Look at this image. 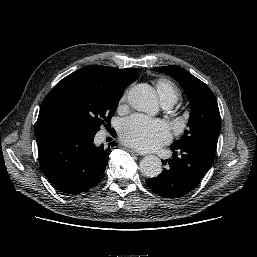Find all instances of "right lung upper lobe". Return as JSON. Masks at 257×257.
Returning a JSON list of instances; mask_svg holds the SVG:
<instances>
[{"mask_svg":"<svg viewBox=\"0 0 257 257\" xmlns=\"http://www.w3.org/2000/svg\"><path fill=\"white\" fill-rule=\"evenodd\" d=\"M91 76L101 83L120 86L126 81V69H116L113 67L90 65L77 70L69 76L62 79L46 96L41 107L37 120L35 136L37 142L44 137L62 129L54 120L52 114V99L58 87L68 78L75 76Z\"/></svg>","mask_w":257,"mask_h":257,"instance_id":"right-lung-upper-lobe-1","label":"right lung upper lobe"}]
</instances>
